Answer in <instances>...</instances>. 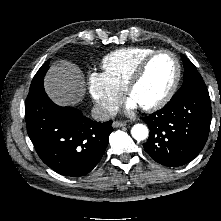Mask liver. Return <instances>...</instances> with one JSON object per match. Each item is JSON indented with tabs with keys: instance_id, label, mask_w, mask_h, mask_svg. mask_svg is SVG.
<instances>
[{
	"instance_id": "obj_1",
	"label": "liver",
	"mask_w": 221,
	"mask_h": 221,
	"mask_svg": "<svg viewBox=\"0 0 221 221\" xmlns=\"http://www.w3.org/2000/svg\"><path fill=\"white\" fill-rule=\"evenodd\" d=\"M44 88L57 105H76L85 94V78L77 65L62 61L51 66L44 79Z\"/></svg>"
}]
</instances>
